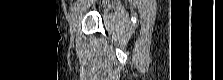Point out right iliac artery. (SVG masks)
<instances>
[{"mask_svg": "<svg viewBox=\"0 0 223 80\" xmlns=\"http://www.w3.org/2000/svg\"><path fill=\"white\" fill-rule=\"evenodd\" d=\"M78 7H79V1L76 2V3L73 5V7L71 8V11H72L73 14H74L75 11L78 9Z\"/></svg>", "mask_w": 223, "mask_h": 80, "instance_id": "obj_1", "label": "right iliac artery"}]
</instances>
